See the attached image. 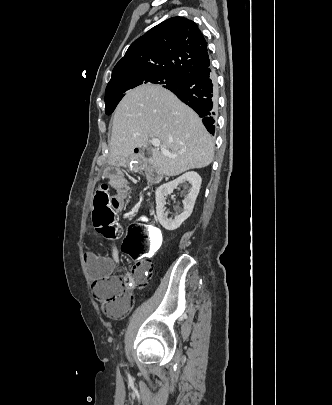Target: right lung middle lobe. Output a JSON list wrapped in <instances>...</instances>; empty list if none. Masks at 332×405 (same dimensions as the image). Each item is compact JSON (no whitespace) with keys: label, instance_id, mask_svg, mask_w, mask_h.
Returning a JSON list of instances; mask_svg holds the SVG:
<instances>
[{"label":"right lung middle lobe","instance_id":"1","mask_svg":"<svg viewBox=\"0 0 332 405\" xmlns=\"http://www.w3.org/2000/svg\"><path fill=\"white\" fill-rule=\"evenodd\" d=\"M183 79V76L154 72H135L123 74L111 80L105 92V112L110 115L125 93L141 84H159L169 88Z\"/></svg>","mask_w":332,"mask_h":405}]
</instances>
